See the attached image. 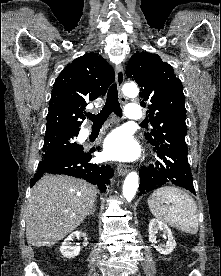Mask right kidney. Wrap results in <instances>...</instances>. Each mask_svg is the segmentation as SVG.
I'll use <instances>...</instances> for the list:
<instances>
[{"label":"right kidney","instance_id":"ca27d5eb","mask_svg":"<svg viewBox=\"0 0 221 276\" xmlns=\"http://www.w3.org/2000/svg\"><path fill=\"white\" fill-rule=\"evenodd\" d=\"M80 236L84 237L85 240L86 234L82 233L80 231H75L71 233L62 243V246L60 247L61 254L63 257L66 258H74L75 256H78L80 253V247L79 246H72L71 241H73L74 238H79Z\"/></svg>","mask_w":221,"mask_h":276}]
</instances>
